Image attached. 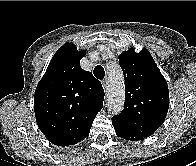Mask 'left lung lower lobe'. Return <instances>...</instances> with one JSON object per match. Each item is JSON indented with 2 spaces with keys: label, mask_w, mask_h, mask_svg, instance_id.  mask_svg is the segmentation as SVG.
I'll return each mask as SVG.
<instances>
[{
  "label": "left lung lower lobe",
  "mask_w": 196,
  "mask_h": 166,
  "mask_svg": "<svg viewBox=\"0 0 196 166\" xmlns=\"http://www.w3.org/2000/svg\"><path fill=\"white\" fill-rule=\"evenodd\" d=\"M113 126H114L116 134L121 138H125L127 140H132V141H138V140L144 139V137L132 134L131 132L123 129L122 127L118 125L113 124Z\"/></svg>",
  "instance_id": "1"
}]
</instances>
